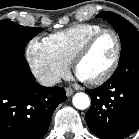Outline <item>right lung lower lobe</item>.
<instances>
[{
  "instance_id": "1",
  "label": "right lung lower lobe",
  "mask_w": 139,
  "mask_h": 139,
  "mask_svg": "<svg viewBox=\"0 0 139 139\" xmlns=\"http://www.w3.org/2000/svg\"><path fill=\"white\" fill-rule=\"evenodd\" d=\"M65 100L63 88L35 82L24 53L0 48V139H42Z\"/></svg>"
}]
</instances>
